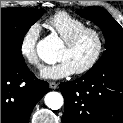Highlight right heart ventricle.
Wrapping results in <instances>:
<instances>
[{"mask_svg": "<svg viewBox=\"0 0 123 123\" xmlns=\"http://www.w3.org/2000/svg\"><path fill=\"white\" fill-rule=\"evenodd\" d=\"M45 25L63 41L76 31L87 27L84 21L66 11L56 12L45 21Z\"/></svg>", "mask_w": 123, "mask_h": 123, "instance_id": "obj_1", "label": "right heart ventricle"}]
</instances>
